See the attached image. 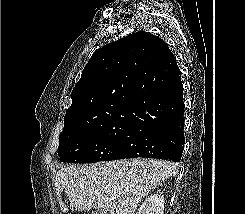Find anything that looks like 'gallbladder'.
<instances>
[{"label": "gallbladder", "mask_w": 245, "mask_h": 214, "mask_svg": "<svg viewBox=\"0 0 245 214\" xmlns=\"http://www.w3.org/2000/svg\"><path fill=\"white\" fill-rule=\"evenodd\" d=\"M91 214H107L105 209H94Z\"/></svg>", "instance_id": "1"}]
</instances>
